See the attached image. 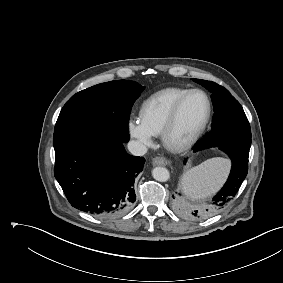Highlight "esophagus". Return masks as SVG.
Listing matches in <instances>:
<instances>
[{
	"label": "esophagus",
	"instance_id": "esophagus-1",
	"mask_svg": "<svg viewBox=\"0 0 283 283\" xmlns=\"http://www.w3.org/2000/svg\"><path fill=\"white\" fill-rule=\"evenodd\" d=\"M170 162L168 159H166L165 157H155L152 160V164L154 166L160 165V166H165L168 165Z\"/></svg>",
	"mask_w": 283,
	"mask_h": 283
}]
</instances>
